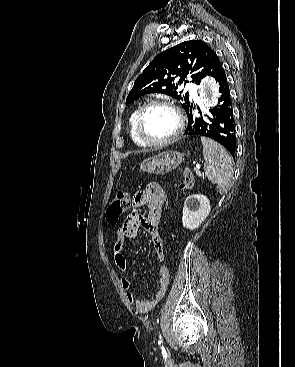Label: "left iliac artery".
Returning a JSON list of instances; mask_svg holds the SVG:
<instances>
[{"instance_id": "1", "label": "left iliac artery", "mask_w": 295, "mask_h": 367, "mask_svg": "<svg viewBox=\"0 0 295 367\" xmlns=\"http://www.w3.org/2000/svg\"><path fill=\"white\" fill-rule=\"evenodd\" d=\"M159 345H163V340H162V337L161 335H159V341H158Z\"/></svg>"}]
</instances>
